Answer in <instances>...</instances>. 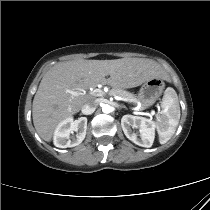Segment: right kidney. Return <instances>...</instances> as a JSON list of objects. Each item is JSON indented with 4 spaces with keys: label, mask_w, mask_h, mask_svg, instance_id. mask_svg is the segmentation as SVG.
Returning a JSON list of instances; mask_svg holds the SVG:
<instances>
[{
    "label": "right kidney",
    "mask_w": 210,
    "mask_h": 210,
    "mask_svg": "<svg viewBox=\"0 0 210 210\" xmlns=\"http://www.w3.org/2000/svg\"><path fill=\"white\" fill-rule=\"evenodd\" d=\"M87 118L81 117L73 120L68 117L58 124L54 132V145L58 148L75 147L79 145L86 136ZM77 132L76 136L70 138V134Z\"/></svg>",
    "instance_id": "1"
}]
</instances>
